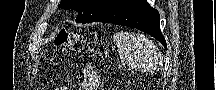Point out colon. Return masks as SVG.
<instances>
[{"label":"colon","mask_w":216,"mask_h":90,"mask_svg":"<svg viewBox=\"0 0 216 90\" xmlns=\"http://www.w3.org/2000/svg\"><path fill=\"white\" fill-rule=\"evenodd\" d=\"M73 42H74L73 35L66 30H62L57 34L54 44L58 47H63V46H69Z\"/></svg>","instance_id":"1"}]
</instances>
